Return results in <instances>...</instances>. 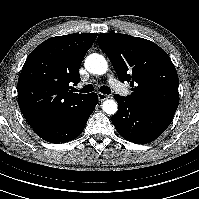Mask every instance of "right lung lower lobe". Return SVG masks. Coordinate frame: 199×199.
<instances>
[{
    "label": "right lung lower lobe",
    "mask_w": 199,
    "mask_h": 199,
    "mask_svg": "<svg viewBox=\"0 0 199 199\" xmlns=\"http://www.w3.org/2000/svg\"><path fill=\"white\" fill-rule=\"evenodd\" d=\"M97 103V94L90 93L77 109L67 113L50 125L34 129V132L40 138L51 143L58 144L71 141L82 133Z\"/></svg>",
    "instance_id": "right-lung-lower-lobe-1"
}]
</instances>
